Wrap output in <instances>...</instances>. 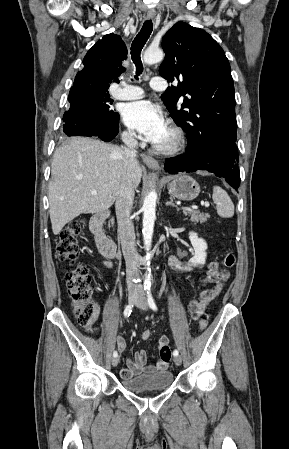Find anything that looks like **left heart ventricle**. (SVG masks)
I'll return each mask as SVG.
<instances>
[{
    "instance_id": "left-heart-ventricle-1",
    "label": "left heart ventricle",
    "mask_w": 289,
    "mask_h": 449,
    "mask_svg": "<svg viewBox=\"0 0 289 449\" xmlns=\"http://www.w3.org/2000/svg\"><path fill=\"white\" fill-rule=\"evenodd\" d=\"M169 140H170V135H169V132L166 131L164 136L162 137V139L160 140V142L158 144H160V145L167 144L169 142Z\"/></svg>"
}]
</instances>
